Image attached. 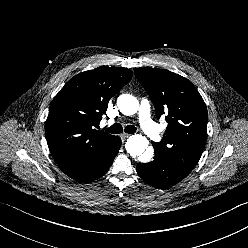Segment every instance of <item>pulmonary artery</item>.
<instances>
[{
  "instance_id": "1",
  "label": "pulmonary artery",
  "mask_w": 248,
  "mask_h": 248,
  "mask_svg": "<svg viewBox=\"0 0 248 248\" xmlns=\"http://www.w3.org/2000/svg\"><path fill=\"white\" fill-rule=\"evenodd\" d=\"M139 122L148 137L154 141H159L161 139L159 130L150 118V104L146 99L141 101L139 109Z\"/></svg>"
}]
</instances>
